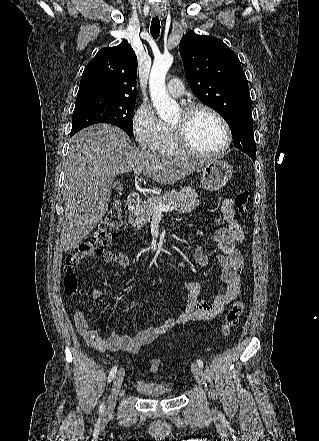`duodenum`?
Masks as SVG:
<instances>
[{"label": "duodenum", "mask_w": 319, "mask_h": 441, "mask_svg": "<svg viewBox=\"0 0 319 441\" xmlns=\"http://www.w3.org/2000/svg\"><path fill=\"white\" fill-rule=\"evenodd\" d=\"M141 203V196L137 192L129 194L126 200L127 209L131 210L137 207Z\"/></svg>", "instance_id": "duodenum-1"}]
</instances>
